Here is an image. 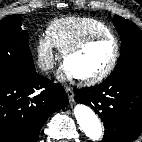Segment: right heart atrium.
Here are the masks:
<instances>
[{"instance_id": "1", "label": "right heart atrium", "mask_w": 142, "mask_h": 142, "mask_svg": "<svg viewBox=\"0 0 142 142\" xmlns=\"http://www.w3.org/2000/svg\"><path fill=\"white\" fill-rule=\"evenodd\" d=\"M54 45L47 36H41L36 42L38 62L43 70H50L56 61Z\"/></svg>"}]
</instances>
